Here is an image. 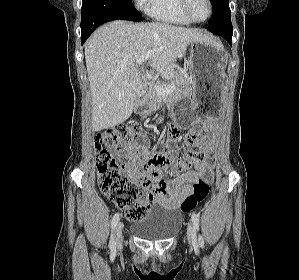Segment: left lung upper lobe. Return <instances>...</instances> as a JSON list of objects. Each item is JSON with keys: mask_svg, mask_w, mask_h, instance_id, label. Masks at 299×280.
Segmentation results:
<instances>
[{"mask_svg": "<svg viewBox=\"0 0 299 280\" xmlns=\"http://www.w3.org/2000/svg\"><path fill=\"white\" fill-rule=\"evenodd\" d=\"M210 1H211V4H212V7H213V14H212V17L209 21V24L213 23L216 20L219 12L222 9V4L224 2H228L229 0H210Z\"/></svg>", "mask_w": 299, "mask_h": 280, "instance_id": "obj_1", "label": "left lung upper lobe"}]
</instances>
